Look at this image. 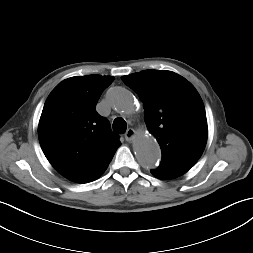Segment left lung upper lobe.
Masks as SVG:
<instances>
[{"label":"left lung upper lobe","instance_id":"left-lung-upper-lobe-1","mask_svg":"<svg viewBox=\"0 0 253 253\" xmlns=\"http://www.w3.org/2000/svg\"><path fill=\"white\" fill-rule=\"evenodd\" d=\"M121 78L143 102L145 123L161 147V164L191 168L203 153L208 132L204 104L194 86L167 70Z\"/></svg>","mask_w":253,"mask_h":253}]
</instances>
